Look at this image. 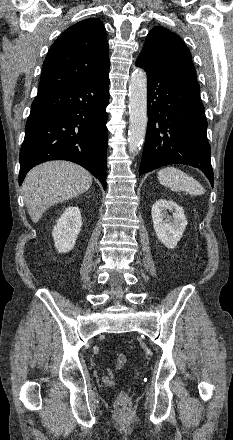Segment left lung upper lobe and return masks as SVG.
<instances>
[{"label": "left lung upper lobe", "instance_id": "5c2ea615", "mask_svg": "<svg viewBox=\"0 0 233 440\" xmlns=\"http://www.w3.org/2000/svg\"><path fill=\"white\" fill-rule=\"evenodd\" d=\"M138 58L160 72L196 80L189 49L179 36L162 26L149 32Z\"/></svg>", "mask_w": 233, "mask_h": 440}]
</instances>
